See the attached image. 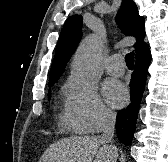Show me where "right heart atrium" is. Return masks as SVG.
<instances>
[{"label": "right heart atrium", "instance_id": "right-heart-atrium-1", "mask_svg": "<svg viewBox=\"0 0 168 162\" xmlns=\"http://www.w3.org/2000/svg\"><path fill=\"white\" fill-rule=\"evenodd\" d=\"M66 92L64 121L71 129L96 133L113 122L114 112L101 99L94 85L69 79Z\"/></svg>", "mask_w": 168, "mask_h": 162}]
</instances>
